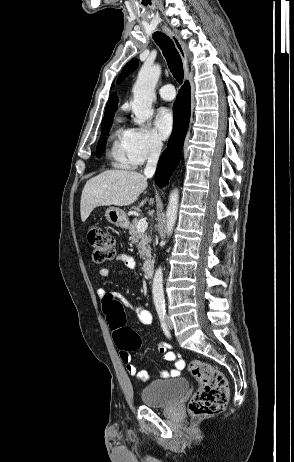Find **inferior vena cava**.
<instances>
[{"label": "inferior vena cava", "instance_id": "obj_1", "mask_svg": "<svg viewBox=\"0 0 294 462\" xmlns=\"http://www.w3.org/2000/svg\"><path fill=\"white\" fill-rule=\"evenodd\" d=\"M162 144L160 142L154 141L150 146V152L148 155L147 164L144 168V175L147 178H150L154 175L158 159L161 153Z\"/></svg>", "mask_w": 294, "mask_h": 462}]
</instances>
